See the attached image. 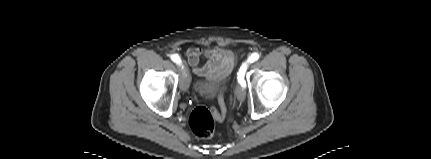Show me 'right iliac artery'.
<instances>
[{
  "label": "right iliac artery",
  "mask_w": 431,
  "mask_h": 159,
  "mask_svg": "<svg viewBox=\"0 0 431 159\" xmlns=\"http://www.w3.org/2000/svg\"><path fill=\"white\" fill-rule=\"evenodd\" d=\"M171 60L174 61L177 64L181 63V59H180V57L177 54L171 55Z\"/></svg>",
  "instance_id": "1"
}]
</instances>
